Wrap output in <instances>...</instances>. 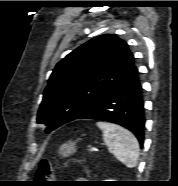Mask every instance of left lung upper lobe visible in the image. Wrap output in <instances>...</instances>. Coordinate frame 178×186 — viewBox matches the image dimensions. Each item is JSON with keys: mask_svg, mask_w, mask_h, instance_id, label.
Segmentation results:
<instances>
[{"mask_svg": "<svg viewBox=\"0 0 178 186\" xmlns=\"http://www.w3.org/2000/svg\"><path fill=\"white\" fill-rule=\"evenodd\" d=\"M137 71L127 43L104 34L81 45L53 70L43 93L37 123L50 132L72 121Z\"/></svg>", "mask_w": 178, "mask_h": 186, "instance_id": "left-lung-upper-lobe-1", "label": "left lung upper lobe"}]
</instances>
